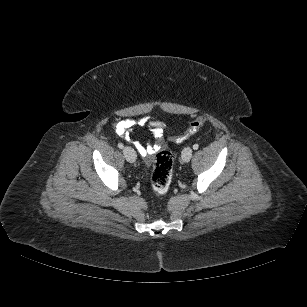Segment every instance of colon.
Wrapping results in <instances>:
<instances>
[{
	"label": "colon",
	"mask_w": 307,
	"mask_h": 307,
	"mask_svg": "<svg viewBox=\"0 0 307 307\" xmlns=\"http://www.w3.org/2000/svg\"><path fill=\"white\" fill-rule=\"evenodd\" d=\"M208 119L204 116L196 118L190 123L186 131L175 138L177 142H182L193 134H195L200 128H202ZM173 154L169 150L159 151L154 159L153 171L151 176L152 188L157 194H164L168 191L173 175Z\"/></svg>",
	"instance_id": "1"
}]
</instances>
